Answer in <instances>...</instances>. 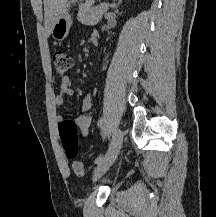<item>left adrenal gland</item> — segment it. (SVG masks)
Segmentation results:
<instances>
[{"instance_id":"a2214340","label":"left adrenal gland","mask_w":216,"mask_h":217,"mask_svg":"<svg viewBox=\"0 0 216 217\" xmlns=\"http://www.w3.org/2000/svg\"><path fill=\"white\" fill-rule=\"evenodd\" d=\"M121 3L122 0H119L117 4L112 5V8L117 9Z\"/></svg>"}]
</instances>
